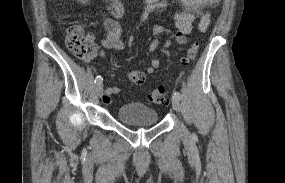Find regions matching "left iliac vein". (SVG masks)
<instances>
[{"label":"left iliac vein","instance_id":"4c4485c4","mask_svg":"<svg viewBox=\"0 0 285 183\" xmlns=\"http://www.w3.org/2000/svg\"><path fill=\"white\" fill-rule=\"evenodd\" d=\"M172 106H173V109L176 112H180L181 108H180V101H179L178 98L173 97V99H172ZM182 133H183V135L187 134V130H186L185 127H183V129H182Z\"/></svg>","mask_w":285,"mask_h":183}]
</instances>
